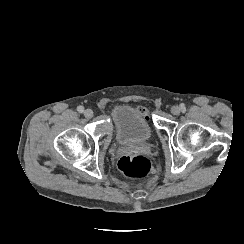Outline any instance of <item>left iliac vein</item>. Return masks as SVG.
<instances>
[{"mask_svg": "<svg viewBox=\"0 0 244 244\" xmlns=\"http://www.w3.org/2000/svg\"><path fill=\"white\" fill-rule=\"evenodd\" d=\"M170 111L173 115H179L181 113V109L177 105L172 106Z\"/></svg>", "mask_w": 244, "mask_h": 244, "instance_id": "4c4485c4", "label": "left iliac vein"}]
</instances>
